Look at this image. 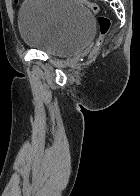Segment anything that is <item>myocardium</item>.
I'll list each match as a JSON object with an SVG mask.
<instances>
[{
  "label": "myocardium",
  "mask_w": 140,
  "mask_h": 196,
  "mask_svg": "<svg viewBox=\"0 0 140 196\" xmlns=\"http://www.w3.org/2000/svg\"><path fill=\"white\" fill-rule=\"evenodd\" d=\"M36 192H45V191H36ZM56 192H65V191H56Z\"/></svg>",
  "instance_id": "obj_1"
}]
</instances>
